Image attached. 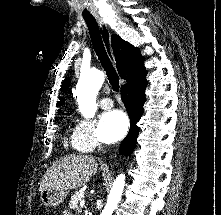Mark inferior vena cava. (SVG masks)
Segmentation results:
<instances>
[{"mask_svg": "<svg viewBox=\"0 0 221 215\" xmlns=\"http://www.w3.org/2000/svg\"><path fill=\"white\" fill-rule=\"evenodd\" d=\"M101 149H102V147H101V146H98V152H99Z\"/></svg>", "mask_w": 221, "mask_h": 215, "instance_id": "obj_1", "label": "inferior vena cava"}]
</instances>
